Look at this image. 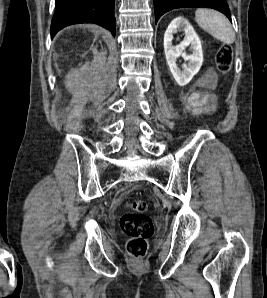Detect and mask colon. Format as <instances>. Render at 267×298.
Wrapping results in <instances>:
<instances>
[{
	"label": "colon",
	"instance_id": "5ec220e1",
	"mask_svg": "<svg viewBox=\"0 0 267 298\" xmlns=\"http://www.w3.org/2000/svg\"><path fill=\"white\" fill-rule=\"evenodd\" d=\"M232 60L231 46L222 45L216 55L218 70L222 74H227L231 70ZM146 212V201L136 199L131 204V210L120 217V228L128 236L127 251L135 259H140L146 254L148 241L154 234L153 221Z\"/></svg>",
	"mask_w": 267,
	"mask_h": 298
}]
</instances>
